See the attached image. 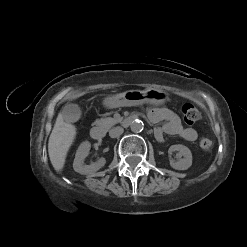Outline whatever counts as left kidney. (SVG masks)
<instances>
[{
  "label": "left kidney",
  "mask_w": 247,
  "mask_h": 247,
  "mask_svg": "<svg viewBox=\"0 0 247 247\" xmlns=\"http://www.w3.org/2000/svg\"><path fill=\"white\" fill-rule=\"evenodd\" d=\"M174 151H178V157H182L178 161L170 160V165L176 170H187L192 165V153L190 149L184 145L177 144L172 145L169 148L168 153L171 154Z\"/></svg>",
  "instance_id": "1"
}]
</instances>
